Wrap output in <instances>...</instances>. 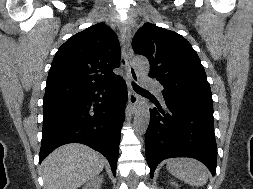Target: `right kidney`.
<instances>
[{
    "label": "right kidney",
    "instance_id": "right-kidney-1",
    "mask_svg": "<svg viewBox=\"0 0 253 189\" xmlns=\"http://www.w3.org/2000/svg\"><path fill=\"white\" fill-rule=\"evenodd\" d=\"M103 181V178L100 177H96L95 179H93L91 182L87 183L83 189H99L101 186V183Z\"/></svg>",
    "mask_w": 253,
    "mask_h": 189
}]
</instances>
